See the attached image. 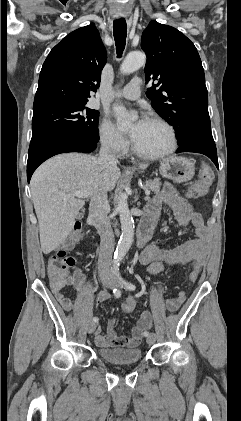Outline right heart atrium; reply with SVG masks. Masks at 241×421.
<instances>
[{
	"label": "right heart atrium",
	"instance_id": "d8ad5b80",
	"mask_svg": "<svg viewBox=\"0 0 241 421\" xmlns=\"http://www.w3.org/2000/svg\"><path fill=\"white\" fill-rule=\"evenodd\" d=\"M99 138L103 146L115 154L122 155L128 149L127 139L108 118L99 125Z\"/></svg>",
	"mask_w": 241,
	"mask_h": 421
}]
</instances>
